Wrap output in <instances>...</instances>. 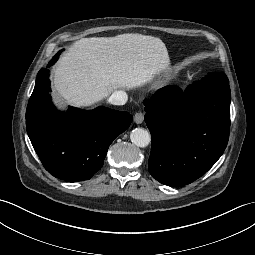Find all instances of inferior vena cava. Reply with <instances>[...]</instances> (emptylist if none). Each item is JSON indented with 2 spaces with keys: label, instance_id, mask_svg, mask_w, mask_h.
<instances>
[{
  "label": "inferior vena cava",
  "instance_id": "1",
  "mask_svg": "<svg viewBox=\"0 0 255 255\" xmlns=\"http://www.w3.org/2000/svg\"><path fill=\"white\" fill-rule=\"evenodd\" d=\"M128 100L126 92L122 90L114 91L109 97L108 102L113 105H124Z\"/></svg>",
  "mask_w": 255,
  "mask_h": 255
}]
</instances>
